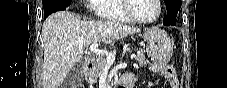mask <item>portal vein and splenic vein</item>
<instances>
[{
    "mask_svg": "<svg viewBox=\"0 0 227 88\" xmlns=\"http://www.w3.org/2000/svg\"><path fill=\"white\" fill-rule=\"evenodd\" d=\"M98 46H99L98 43H93L89 46V50L92 53H95L96 55L106 56L107 65H112L115 61V54L110 53L108 51L100 50L98 49ZM135 57H136L135 54H132L130 56L131 59H134Z\"/></svg>",
    "mask_w": 227,
    "mask_h": 88,
    "instance_id": "portal-vein-and-splenic-vein-1",
    "label": "portal vein and splenic vein"
}]
</instances>
